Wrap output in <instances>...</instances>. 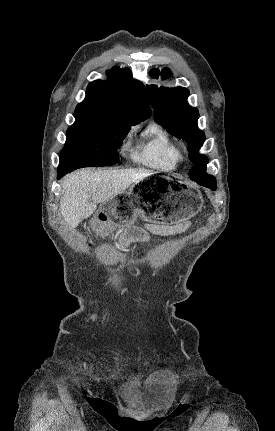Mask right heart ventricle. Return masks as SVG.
<instances>
[{
    "mask_svg": "<svg viewBox=\"0 0 275 431\" xmlns=\"http://www.w3.org/2000/svg\"><path fill=\"white\" fill-rule=\"evenodd\" d=\"M143 138L144 143L135 154L137 161L164 171L177 167L182 158L181 152L166 130L152 124L144 131Z\"/></svg>",
    "mask_w": 275,
    "mask_h": 431,
    "instance_id": "e07e8e85",
    "label": "right heart ventricle"
}]
</instances>
